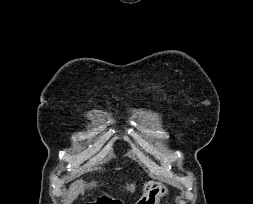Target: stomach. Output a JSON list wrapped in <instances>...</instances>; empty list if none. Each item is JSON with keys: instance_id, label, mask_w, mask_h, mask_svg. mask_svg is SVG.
<instances>
[{"instance_id": "1", "label": "stomach", "mask_w": 253, "mask_h": 204, "mask_svg": "<svg viewBox=\"0 0 253 204\" xmlns=\"http://www.w3.org/2000/svg\"><path fill=\"white\" fill-rule=\"evenodd\" d=\"M168 194V188L160 182L145 181L143 195L136 204H160L161 198Z\"/></svg>"}]
</instances>
